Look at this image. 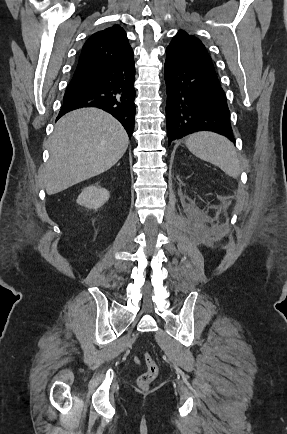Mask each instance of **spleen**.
I'll list each match as a JSON object with an SVG mask.
<instances>
[{
    "label": "spleen",
    "mask_w": 287,
    "mask_h": 434,
    "mask_svg": "<svg viewBox=\"0 0 287 434\" xmlns=\"http://www.w3.org/2000/svg\"><path fill=\"white\" fill-rule=\"evenodd\" d=\"M186 147L196 157L218 166L230 177L240 175L236 149L227 138L212 132H198L186 139Z\"/></svg>",
    "instance_id": "spleen-1"
}]
</instances>
